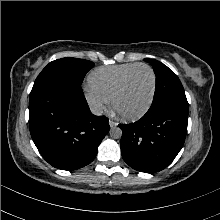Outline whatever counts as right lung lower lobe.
Segmentation results:
<instances>
[{"instance_id": "98d812e1", "label": "right lung lower lobe", "mask_w": 220, "mask_h": 220, "mask_svg": "<svg viewBox=\"0 0 220 220\" xmlns=\"http://www.w3.org/2000/svg\"><path fill=\"white\" fill-rule=\"evenodd\" d=\"M29 128L43 158L72 171L94 160L109 124L90 112L80 86L48 83L31 90Z\"/></svg>"}]
</instances>
